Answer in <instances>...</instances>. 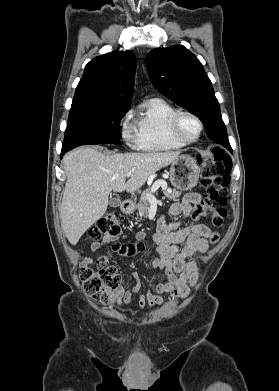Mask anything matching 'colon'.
Here are the masks:
<instances>
[{"mask_svg":"<svg viewBox=\"0 0 279 391\" xmlns=\"http://www.w3.org/2000/svg\"><path fill=\"white\" fill-rule=\"evenodd\" d=\"M197 161L201 167V184L207 189L203 201L193 211L194 218L210 216L216 227H223L228 201L230 184L231 159L219 148L210 153L198 154ZM120 216L115 211H108L89 231L92 240L112 242V251L120 257H133L145 250L142 240L130 243L118 241L120 235ZM212 244L218 242L219 234L214 232L209 237ZM85 292L100 303L114 300L120 288V277L114 266L108 265L105 257L99 258L97 268L83 266L79 273Z\"/></svg>","mask_w":279,"mask_h":391,"instance_id":"1","label":"colon"}]
</instances>
